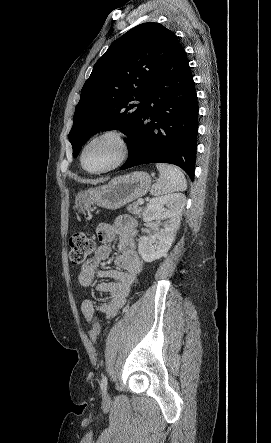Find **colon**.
<instances>
[{
	"label": "colon",
	"instance_id": "colon-1",
	"mask_svg": "<svg viewBox=\"0 0 271 443\" xmlns=\"http://www.w3.org/2000/svg\"><path fill=\"white\" fill-rule=\"evenodd\" d=\"M70 261L75 265L85 262L87 257L94 251L95 244L92 238L84 233H75L69 239ZM89 334L94 342H97L100 334V327L96 319H93L90 325Z\"/></svg>",
	"mask_w": 271,
	"mask_h": 443
}]
</instances>
